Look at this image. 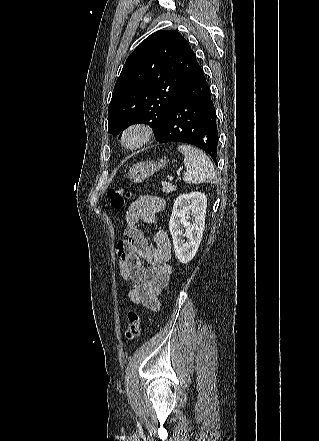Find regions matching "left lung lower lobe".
<instances>
[{"instance_id":"obj_1","label":"left lung lower lobe","mask_w":319,"mask_h":441,"mask_svg":"<svg viewBox=\"0 0 319 441\" xmlns=\"http://www.w3.org/2000/svg\"><path fill=\"white\" fill-rule=\"evenodd\" d=\"M211 91L202 68L190 76L172 105L160 134L159 143L181 142L195 145L216 162L218 130Z\"/></svg>"}]
</instances>
